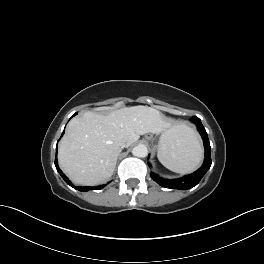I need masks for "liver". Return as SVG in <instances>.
<instances>
[{
  "mask_svg": "<svg viewBox=\"0 0 264 264\" xmlns=\"http://www.w3.org/2000/svg\"><path fill=\"white\" fill-rule=\"evenodd\" d=\"M177 126L148 106L124 107L104 116L86 112L73 118L58 148L63 172L81 185H95L114 172L120 143L129 147L146 133L172 135Z\"/></svg>",
  "mask_w": 264,
  "mask_h": 264,
  "instance_id": "liver-1",
  "label": "liver"
}]
</instances>
